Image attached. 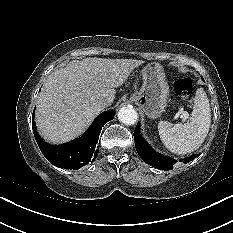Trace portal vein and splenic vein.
<instances>
[{"mask_svg": "<svg viewBox=\"0 0 233 233\" xmlns=\"http://www.w3.org/2000/svg\"><path fill=\"white\" fill-rule=\"evenodd\" d=\"M179 114H181L183 120H186L189 117V114L186 111H179Z\"/></svg>", "mask_w": 233, "mask_h": 233, "instance_id": "18ae733b", "label": "portal vein and splenic vein"}]
</instances>
